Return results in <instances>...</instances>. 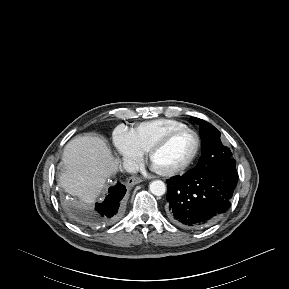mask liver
Segmentation results:
<instances>
[{
    "mask_svg": "<svg viewBox=\"0 0 289 289\" xmlns=\"http://www.w3.org/2000/svg\"><path fill=\"white\" fill-rule=\"evenodd\" d=\"M64 170L59 181L64 190L82 202L93 203L106 179L118 167L106 142L97 136H78L70 140L62 155Z\"/></svg>",
    "mask_w": 289,
    "mask_h": 289,
    "instance_id": "6515ba94",
    "label": "liver"
}]
</instances>
